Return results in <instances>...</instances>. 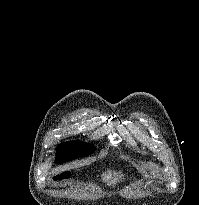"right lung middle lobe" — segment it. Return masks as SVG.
<instances>
[{
  "instance_id": "1",
  "label": "right lung middle lobe",
  "mask_w": 199,
  "mask_h": 205,
  "mask_svg": "<svg viewBox=\"0 0 199 205\" xmlns=\"http://www.w3.org/2000/svg\"><path fill=\"white\" fill-rule=\"evenodd\" d=\"M95 151L92 144L82 141H67L58 145L55 154V163L61 164L76 158L91 155Z\"/></svg>"
}]
</instances>
